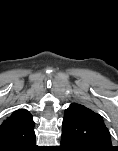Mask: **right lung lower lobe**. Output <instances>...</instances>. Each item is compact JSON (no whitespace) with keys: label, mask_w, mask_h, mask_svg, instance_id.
Here are the masks:
<instances>
[{"label":"right lung lower lobe","mask_w":118,"mask_h":151,"mask_svg":"<svg viewBox=\"0 0 118 151\" xmlns=\"http://www.w3.org/2000/svg\"><path fill=\"white\" fill-rule=\"evenodd\" d=\"M35 150H37V147H36V145H31L30 147H28L27 149H24L23 151H35Z\"/></svg>","instance_id":"obj_1"}]
</instances>
